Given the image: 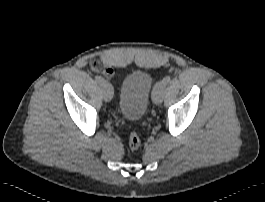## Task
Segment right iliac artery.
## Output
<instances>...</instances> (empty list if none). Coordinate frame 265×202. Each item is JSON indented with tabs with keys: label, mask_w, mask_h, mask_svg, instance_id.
Segmentation results:
<instances>
[{
	"label": "right iliac artery",
	"mask_w": 265,
	"mask_h": 202,
	"mask_svg": "<svg viewBox=\"0 0 265 202\" xmlns=\"http://www.w3.org/2000/svg\"><path fill=\"white\" fill-rule=\"evenodd\" d=\"M95 81L98 84H100V85H102L105 82V80L101 76H99V75L95 76Z\"/></svg>",
	"instance_id": "obj_1"
}]
</instances>
